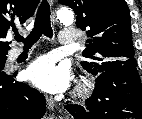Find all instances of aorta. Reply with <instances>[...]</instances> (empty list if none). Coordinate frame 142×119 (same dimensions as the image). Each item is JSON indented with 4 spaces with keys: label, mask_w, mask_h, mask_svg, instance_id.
<instances>
[{
    "label": "aorta",
    "mask_w": 142,
    "mask_h": 119,
    "mask_svg": "<svg viewBox=\"0 0 142 119\" xmlns=\"http://www.w3.org/2000/svg\"><path fill=\"white\" fill-rule=\"evenodd\" d=\"M57 19L61 22V23H71L74 20V14L71 10H69L68 8H61L58 12H57Z\"/></svg>",
    "instance_id": "762f6f07"
}]
</instances>
